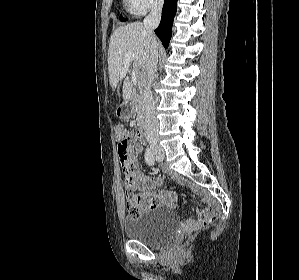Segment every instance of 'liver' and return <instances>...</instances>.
Returning a JSON list of instances; mask_svg holds the SVG:
<instances>
[{"instance_id":"liver-1","label":"liver","mask_w":299,"mask_h":280,"mask_svg":"<svg viewBox=\"0 0 299 280\" xmlns=\"http://www.w3.org/2000/svg\"><path fill=\"white\" fill-rule=\"evenodd\" d=\"M127 52L134 54L133 66L135 69L141 68L147 71L149 43L144 25L140 22L118 27L110 38L108 71L109 82L112 88H116L119 80L124 78L129 70L130 62L125 60V53ZM130 96V82L127 79L123 84L124 102L129 100Z\"/></svg>"}]
</instances>
